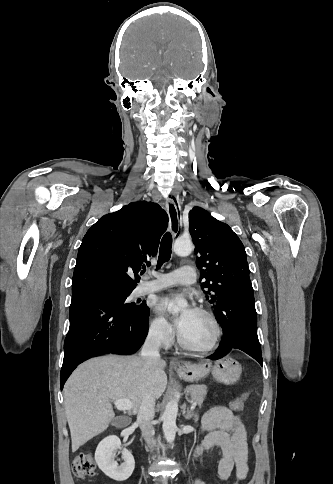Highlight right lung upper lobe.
Listing matches in <instances>:
<instances>
[{"mask_svg":"<svg viewBox=\"0 0 333 484\" xmlns=\"http://www.w3.org/2000/svg\"><path fill=\"white\" fill-rule=\"evenodd\" d=\"M168 216L156 203L138 201L101 217L77 255L72 294L86 290L131 292L138 272L158 251Z\"/></svg>","mask_w":333,"mask_h":484,"instance_id":"1","label":"right lung upper lobe"}]
</instances>
